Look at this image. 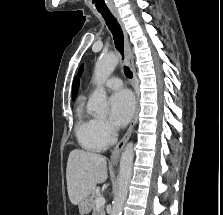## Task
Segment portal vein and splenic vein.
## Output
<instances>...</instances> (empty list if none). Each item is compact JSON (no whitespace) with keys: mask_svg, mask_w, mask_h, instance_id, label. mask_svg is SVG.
Returning <instances> with one entry per match:
<instances>
[{"mask_svg":"<svg viewBox=\"0 0 223 215\" xmlns=\"http://www.w3.org/2000/svg\"><path fill=\"white\" fill-rule=\"evenodd\" d=\"M106 203L105 197H97L96 199V207H102Z\"/></svg>","mask_w":223,"mask_h":215,"instance_id":"portal-vein-and-splenic-vein-1","label":"portal vein and splenic vein"}]
</instances>
